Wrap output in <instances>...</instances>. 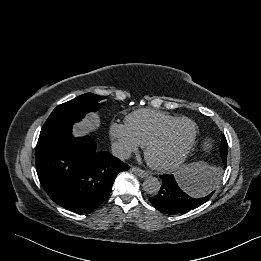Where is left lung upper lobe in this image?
Instances as JSON below:
<instances>
[{"label": "left lung upper lobe", "mask_w": 261, "mask_h": 261, "mask_svg": "<svg viewBox=\"0 0 261 261\" xmlns=\"http://www.w3.org/2000/svg\"><path fill=\"white\" fill-rule=\"evenodd\" d=\"M227 150H228V145H227L226 138H225V136H224V137L222 138V142H221V145H220V154H221V157L227 156Z\"/></svg>", "instance_id": "obj_1"}]
</instances>
